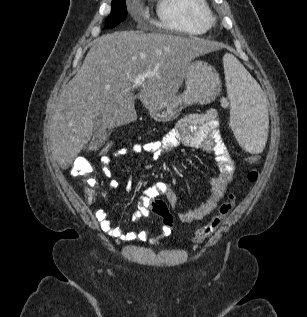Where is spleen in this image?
<instances>
[{
    "label": "spleen",
    "instance_id": "obj_1",
    "mask_svg": "<svg viewBox=\"0 0 307 317\" xmlns=\"http://www.w3.org/2000/svg\"><path fill=\"white\" fill-rule=\"evenodd\" d=\"M228 97L231 101L230 123L240 146L257 154L264 149L268 135V111L260 86L236 57H223Z\"/></svg>",
    "mask_w": 307,
    "mask_h": 317
}]
</instances>
